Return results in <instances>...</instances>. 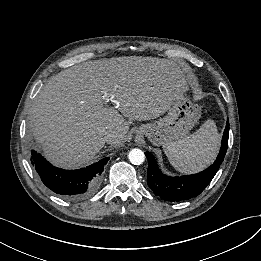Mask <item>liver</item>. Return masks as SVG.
<instances>
[{
	"label": "liver",
	"instance_id": "obj_1",
	"mask_svg": "<svg viewBox=\"0 0 261 261\" xmlns=\"http://www.w3.org/2000/svg\"><path fill=\"white\" fill-rule=\"evenodd\" d=\"M188 90V78L175 61L124 56L87 61L50 78L35 98L29 130L56 166L79 167L105 145L112 130L120 145L130 120L159 117ZM114 95L117 109L105 106Z\"/></svg>",
	"mask_w": 261,
	"mask_h": 261
}]
</instances>
